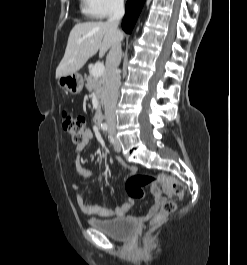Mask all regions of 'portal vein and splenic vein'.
I'll use <instances>...</instances> for the list:
<instances>
[{
	"label": "portal vein and splenic vein",
	"instance_id": "1",
	"mask_svg": "<svg viewBox=\"0 0 247 265\" xmlns=\"http://www.w3.org/2000/svg\"><path fill=\"white\" fill-rule=\"evenodd\" d=\"M105 71V67L102 63H96L92 70H91V74L94 76V77H99V76H102L103 73Z\"/></svg>",
	"mask_w": 247,
	"mask_h": 265
}]
</instances>
